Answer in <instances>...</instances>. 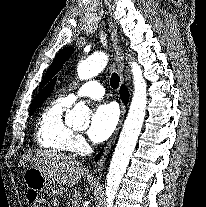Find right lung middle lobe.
Instances as JSON below:
<instances>
[{
    "label": "right lung middle lobe",
    "instance_id": "right-lung-middle-lobe-1",
    "mask_svg": "<svg viewBox=\"0 0 206 207\" xmlns=\"http://www.w3.org/2000/svg\"><path fill=\"white\" fill-rule=\"evenodd\" d=\"M36 109H37V108H32V109H30L29 114L32 115V114L35 112Z\"/></svg>",
    "mask_w": 206,
    "mask_h": 207
}]
</instances>
